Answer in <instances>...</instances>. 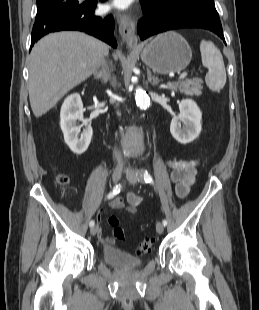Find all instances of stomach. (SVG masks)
<instances>
[{"label": "stomach", "instance_id": "obj_1", "mask_svg": "<svg viewBox=\"0 0 259 310\" xmlns=\"http://www.w3.org/2000/svg\"><path fill=\"white\" fill-rule=\"evenodd\" d=\"M142 61L161 74L184 70L190 63L192 51L187 41L175 32L158 35L140 51Z\"/></svg>", "mask_w": 259, "mask_h": 310}]
</instances>
